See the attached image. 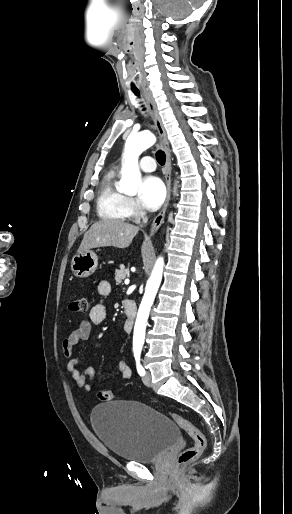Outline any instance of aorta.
<instances>
[{
  "mask_svg": "<svg viewBox=\"0 0 292 514\" xmlns=\"http://www.w3.org/2000/svg\"><path fill=\"white\" fill-rule=\"evenodd\" d=\"M156 138L151 132H139V134H130L126 140L125 152L123 156V166L121 170V180L119 186L127 196L137 194L138 182L141 178L138 158L144 150L155 144ZM164 262L163 258H158L153 272L146 284L145 294L138 310L136 324L134 328L133 346L142 350L146 322L148 320L151 306L155 300L158 288L161 284Z\"/></svg>",
  "mask_w": 292,
  "mask_h": 514,
  "instance_id": "762f6f07",
  "label": "aorta"
}]
</instances>
